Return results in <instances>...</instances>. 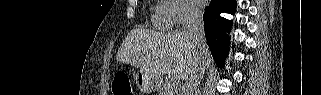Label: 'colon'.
<instances>
[{
	"mask_svg": "<svg viewBox=\"0 0 321 95\" xmlns=\"http://www.w3.org/2000/svg\"><path fill=\"white\" fill-rule=\"evenodd\" d=\"M112 90L115 95H133L130 80L126 75H116L113 83Z\"/></svg>",
	"mask_w": 321,
	"mask_h": 95,
	"instance_id": "1",
	"label": "colon"
}]
</instances>
